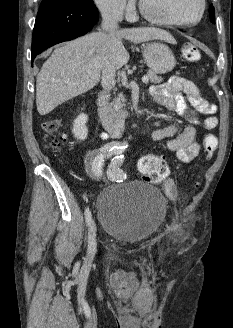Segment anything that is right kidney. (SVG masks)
I'll use <instances>...</instances> for the list:
<instances>
[{"mask_svg": "<svg viewBox=\"0 0 233 328\" xmlns=\"http://www.w3.org/2000/svg\"><path fill=\"white\" fill-rule=\"evenodd\" d=\"M87 115L81 113L75 120L73 124V134L74 137L80 140H85L87 138L88 129L86 127Z\"/></svg>", "mask_w": 233, "mask_h": 328, "instance_id": "1", "label": "right kidney"}]
</instances>
